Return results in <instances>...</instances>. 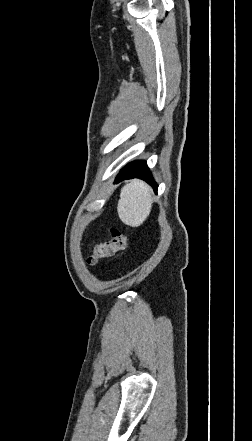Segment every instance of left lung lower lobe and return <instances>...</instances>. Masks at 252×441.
Returning <instances> with one entry per match:
<instances>
[{"label": "left lung lower lobe", "instance_id": "0a47b994", "mask_svg": "<svg viewBox=\"0 0 252 441\" xmlns=\"http://www.w3.org/2000/svg\"><path fill=\"white\" fill-rule=\"evenodd\" d=\"M140 178L151 185H153L154 191L157 192V185L154 183L152 175L147 167L146 161H135L128 164L121 170L116 177L115 183H119L125 179Z\"/></svg>", "mask_w": 252, "mask_h": 441}]
</instances>
